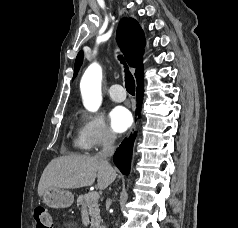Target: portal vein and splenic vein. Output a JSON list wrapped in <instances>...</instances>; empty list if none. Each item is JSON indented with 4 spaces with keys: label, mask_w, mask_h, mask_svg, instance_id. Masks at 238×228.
<instances>
[{
    "label": "portal vein and splenic vein",
    "mask_w": 238,
    "mask_h": 228,
    "mask_svg": "<svg viewBox=\"0 0 238 228\" xmlns=\"http://www.w3.org/2000/svg\"><path fill=\"white\" fill-rule=\"evenodd\" d=\"M90 199L92 200H98L99 199V194L97 192H91L89 194Z\"/></svg>",
    "instance_id": "1"
}]
</instances>
